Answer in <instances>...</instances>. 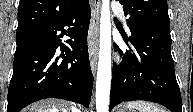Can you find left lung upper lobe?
<instances>
[{
  "label": "left lung upper lobe",
  "mask_w": 193,
  "mask_h": 112,
  "mask_svg": "<svg viewBox=\"0 0 193 112\" xmlns=\"http://www.w3.org/2000/svg\"><path fill=\"white\" fill-rule=\"evenodd\" d=\"M124 14L128 16V27L152 22L169 20L167 0H119Z\"/></svg>",
  "instance_id": "obj_1"
}]
</instances>
